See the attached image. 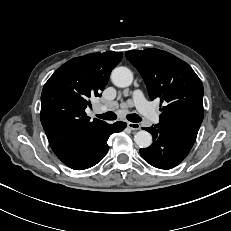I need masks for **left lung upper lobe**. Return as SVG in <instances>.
<instances>
[{
	"mask_svg": "<svg viewBox=\"0 0 231 231\" xmlns=\"http://www.w3.org/2000/svg\"><path fill=\"white\" fill-rule=\"evenodd\" d=\"M125 55L141 73L151 100L164 103L159 124L194 143L204 116V90L193 69L158 49L131 50Z\"/></svg>",
	"mask_w": 231,
	"mask_h": 231,
	"instance_id": "1",
	"label": "left lung upper lobe"
}]
</instances>
